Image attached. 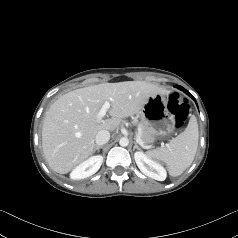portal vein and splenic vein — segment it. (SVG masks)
<instances>
[{
  "mask_svg": "<svg viewBox=\"0 0 238 238\" xmlns=\"http://www.w3.org/2000/svg\"><path fill=\"white\" fill-rule=\"evenodd\" d=\"M109 109H110V103H109L108 101H106V102L103 104V106L101 107V109L99 110L97 117H98L99 119H102V118L106 115V113H107V111H108ZM136 141H137L140 145H143V141L141 140V137L139 136V134H136Z\"/></svg>",
  "mask_w": 238,
  "mask_h": 238,
  "instance_id": "obj_1",
  "label": "portal vein and splenic vein"
}]
</instances>
